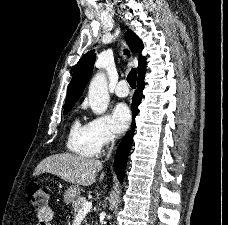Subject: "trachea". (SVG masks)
<instances>
[{
  "label": "trachea",
  "mask_w": 228,
  "mask_h": 225,
  "mask_svg": "<svg viewBox=\"0 0 228 225\" xmlns=\"http://www.w3.org/2000/svg\"><path fill=\"white\" fill-rule=\"evenodd\" d=\"M128 54V51L125 50V55ZM136 79H137V73L135 68H132L131 72L127 76V82L132 88H136Z\"/></svg>",
  "instance_id": "trachea-1"
}]
</instances>
